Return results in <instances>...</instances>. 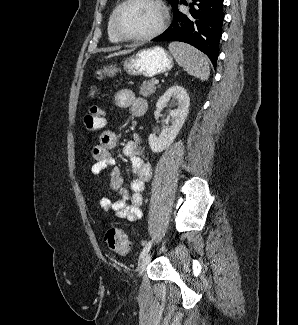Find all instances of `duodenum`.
I'll return each mask as SVG.
<instances>
[{"instance_id": "obj_1", "label": "duodenum", "mask_w": 298, "mask_h": 325, "mask_svg": "<svg viewBox=\"0 0 298 325\" xmlns=\"http://www.w3.org/2000/svg\"><path fill=\"white\" fill-rule=\"evenodd\" d=\"M146 110H147L146 105H145V104H142V105H140V106L137 108V110H136V115H137V116H141V115H143V114L146 112Z\"/></svg>"}]
</instances>
